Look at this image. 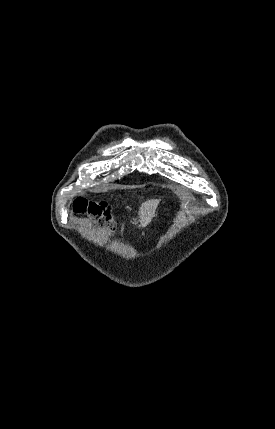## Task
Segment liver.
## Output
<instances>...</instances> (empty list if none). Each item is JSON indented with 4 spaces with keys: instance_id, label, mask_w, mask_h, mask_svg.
I'll return each mask as SVG.
<instances>
[{
    "instance_id": "6515ba94",
    "label": "liver",
    "mask_w": 275,
    "mask_h": 429,
    "mask_svg": "<svg viewBox=\"0 0 275 429\" xmlns=\"http://www.w3.org/2000/svg\"><path fill=\"white\" fill-rule=\"evenodd\" d=\"M160 202V199H151L143 202L139 208V227H146L155 216L156 208Z\"/></svg>"
}]
</instances>
